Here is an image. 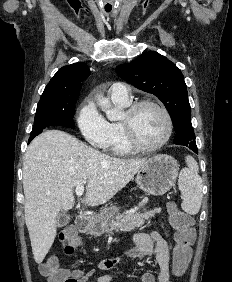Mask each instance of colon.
Returning <instances> with one entry per match:
<instances>
[{
	"label": "colon",
	"instance_id": "5ec220e1",
	"mask_svg": "<svg viewBox=\"0 0 232 282\" xmlns=\"http://www.w3.org/2000/svg\"><path fill=\"white\" fill-rule=\"evenodd\" d=\"M169 221L174 229L173 271L175 275L181 276L187 269L191 247L196 237L194 222L174 203L169 204ZM61 235V243L66 254H73L81 247L82 241L73 231L64 230ZM39 269L53 282H75L73 277L64 274V269L59 267L58 261L53 257L41 263Z\"/></svg>",
	"mask_w": 232,
	"mask_h": 282
}]
</instances>
